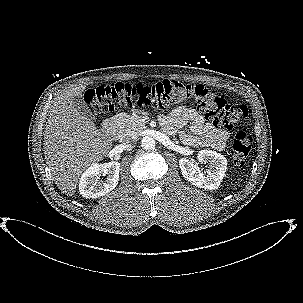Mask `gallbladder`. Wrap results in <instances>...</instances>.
Returning <instances> with one entry per match:
<instances>
[{
  "label": "gallbladder",
  "mask_w": 303,
  "mask_h": 303,
  "mask_svg": "<svg viewBox=\"0 0 303 303\" xmlns=\"http://www.w3.org/2000/svg\"><path fill=\"white\" fill-rule=\"evenodd\" d=\"M75 107L82 115L92 120L95 119V116L90 111L89 107L87 106L82 96L75 98Z\"/></svg>",
  "instance_id": "1"
}]
</instances>
